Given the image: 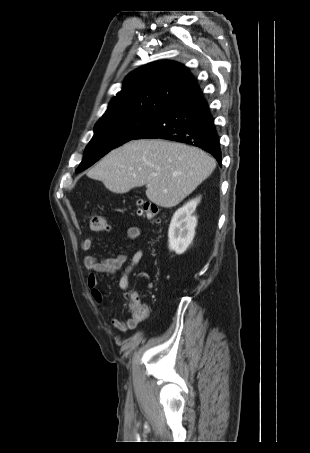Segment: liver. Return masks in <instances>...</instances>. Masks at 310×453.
Returning <instances> with one entry per match:
<instances>
[{"label": "liver", "mask_w": 310, "mask_h": 453, "mask_svg": "<svg viewBox=\"0 0 310 453\" xmlns=\"http://www.w3.org/2000/svg\"><path fill=\"white\" fill-rule=\"evenodd\" d=\"M216 161L199 148L162 139L130 141L108 153L87 176L124 194L146 185L147 198L164 208L179 204L208 178Z\"/></svg>", "instance_id": "6515ba94"}]
</instances>
